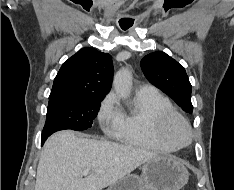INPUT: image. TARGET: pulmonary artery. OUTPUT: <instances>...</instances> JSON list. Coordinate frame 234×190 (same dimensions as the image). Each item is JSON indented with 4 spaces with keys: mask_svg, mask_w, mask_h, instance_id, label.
Masks as SVG:
<instances>
[{
    "mask_svg": "<svg viewBox=\"0 0 234 190\" xmlns=\"http://www.w3.org/2000/svg\"><path fill=\"white\" fill-rule=\"evenodd\" d=\"M153 90H155V88H154L153 86L148 85V84H145V85H142V86L140 87L139 92L145 93V92H151V91H153Z\"/></svg>",
    "mask_w": 234,
    "mask_h": 190,
    "instance_id": "obj_1",
    "label": "pulmonary artery"
}]
</instances>
